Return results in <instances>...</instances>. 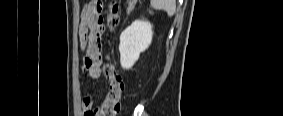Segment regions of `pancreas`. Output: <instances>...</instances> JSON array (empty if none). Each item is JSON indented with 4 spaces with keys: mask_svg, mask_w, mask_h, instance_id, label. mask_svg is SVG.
<instances>
[{
    "mask_svg": "<svg viewBox=\"0 0 283 116\" xmlns=\"http://www.w3.org/2000/svg\"><path fill=\"white\" fill-rule=\"evenodd\" d=\"M133 7H128L127 12L129 13L130 11H132Z\"/></svg>",
    "mask_w": 283,
    "mask_h": 116,
    "instance_id": "obj_1",
    "label": "pancreas"
}]
</instances>
